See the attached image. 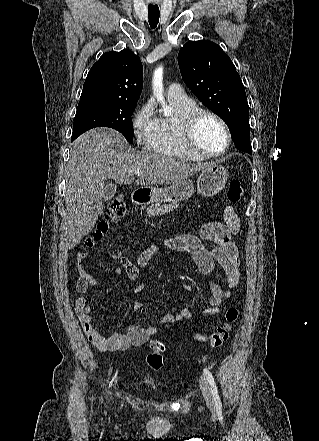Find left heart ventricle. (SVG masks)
<instances>
[{"instance_id": "obj_1", "label": "left heart ventricle", "mask_w": 319, "mask_h": 441, "mask_svg": "<svg viewBox=\"0 0 319 441\" xmlns=\"http://www.w3.org/2000/svg\"><path fill=\"white\" fill-rule=\"evenodd\" d=\"M196 142L205 151L218 152L226 145V135L217 121L204 117L196 130Z\"/></svg>"}]
</instances>
